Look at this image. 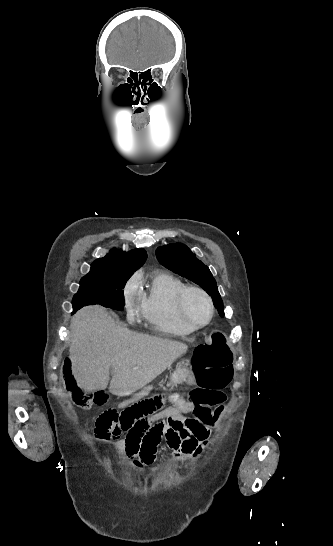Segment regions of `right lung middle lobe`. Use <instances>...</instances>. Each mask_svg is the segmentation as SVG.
Listing matches in <instances>:
<instances>
[{"label":"right lung middle lobe","instance_id":"dd1d6c3e","mask_svg":"<svg viewBox=\"0 0 333 546\" xmlns=\"http://www.w3.org/2000/svg\"><path fill=\"white\" fill-rule=\"evenodd\" d=\"M134 272L109 268L91 269L80 281V288L73 297V312L86 305L100 304L123 310V288Z\"/></svg>","mask_w":333,"mask_h":546}]
</instances>
